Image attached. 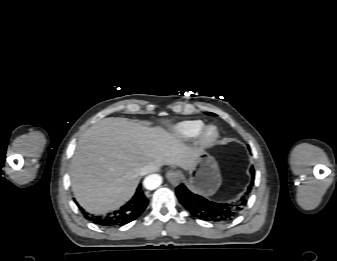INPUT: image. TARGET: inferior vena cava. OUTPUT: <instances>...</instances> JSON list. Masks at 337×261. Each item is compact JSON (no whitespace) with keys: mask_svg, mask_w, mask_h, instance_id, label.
<instances>
[{"mask_svg":"<svg viewBox=\"0 0 337 261\" xmlns=\"http://www.w3.org/2000/svg\"><path fill=\"white\" fill-rule=\"evenodd\" d=\"M156 170H157V167L155 165H146L141 169L140 174L146 175V174H148L150 172H153V171H156Z\"/></svg>","mask_w":337,"mask_h":261,"instance_id":"obj_1","label":"inferior vena cava"}]
</instances>
